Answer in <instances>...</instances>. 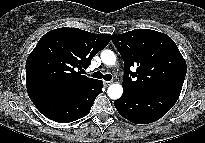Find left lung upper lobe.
Instances as JSON below:
<instances>
[{
	"mask_svg": "<svg viewBox=\"0 0 205 143\" xmlns=\"http://www.w3.org/2000/svg\"><path fill=\"white\" fill-rule=\"evenodd\" d=\"M112 41L124 60L123 89L145 92L173 86L182 88L186 62L168 35L135 29L113 35ZM131 67H136V72H131Z\"/></svg>",
	"mask_w": 205,
	"mask_h": 143,
	"instance_id": "5c2ea615",
	"label": "left lung upper lobe"
}]
</instances>
